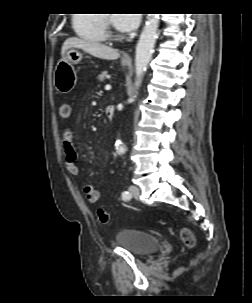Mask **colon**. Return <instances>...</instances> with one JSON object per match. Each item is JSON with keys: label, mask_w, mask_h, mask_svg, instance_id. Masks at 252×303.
<instances>
[{"label": "colon", "mask_w": 252, "mask_h": 303, "mask_svg": "<svg viewBox=\"0 0 252 303\" xmlns=\"http://www.w3.org/2000/svg\"><path fill=\"white\" fill-rule=\"evenodd\" d=\"M59 114L63 119H68L71 115V106L68 103H61L59 106ZM98 219L101 223L107 224L109 222V214L103 210H98ZM181 241L187 248H193L196 245L194 234L187 228H181L179 232Z\"/></svg>", "instance_id": "obj_1"}]
</instances>
